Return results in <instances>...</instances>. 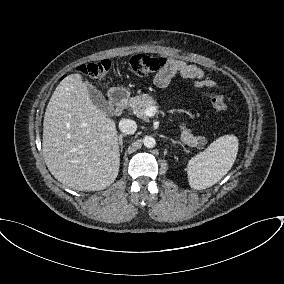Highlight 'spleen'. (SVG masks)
<instances>
[{"instance_id": "3e777b00", "label": "spleen", "mask_w": 284, "mask_h": 284, "mask_svg": "<svg viewBox=\"0 0 284 284\" xmlns=\"http://www.w3.org/2000/svg\"><path fill=\"white\" fill-rule=\"evenodd\" d=\"M238 152V138L221 136L203 152L192 157L187 165L188 182L196 190L206 189L221 180L234 164Z\"/></svg>"}]
</instances>
